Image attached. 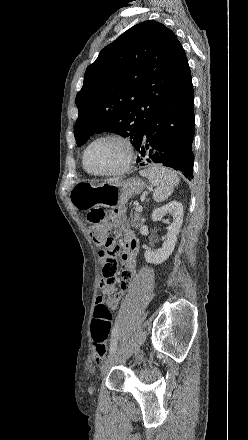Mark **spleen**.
<instances>
[{
	"label": "spleen",
	"instance_id": "obj_1",
	"mask_svg": "<svg viewBox=\"0 0 248 440\" xmlns=\"http://www.w3.org/2000/svg\"><path fill=\"white\" fill-rule=\"evenodd\" d=\"M140 175L147 177L150 183L155 186L153 198L156 202L167 199L180 181L174 171L160 165L148 167L140 171Z\"/></svg>",
	"mask_w": 248,
	"mask_h": 440
}]
</instances>
